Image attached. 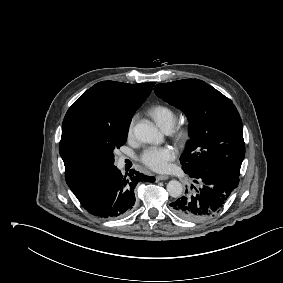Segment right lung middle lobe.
I'll list each match as a JSON object with an SVG mask.
<instances>
[{
    "label": "right lung middle lobe",
    "instance_id": "obj_1",
    "mask_svg": "<svg viewBox=\"0 0 283 283\" xmlns=\"http://www.w3.org/2000/svg\"><path fill=\"white\" fill-rule=\"evenodd\" d=\"M129 125L120 127L106 128L98 135H94L86 141L87 147L99 154L105 163L111 167L114 163L113 151L126 142Z\"/></svg>",
    "mask_w": 283,
    "mask_h": 283
}]
</instances>
